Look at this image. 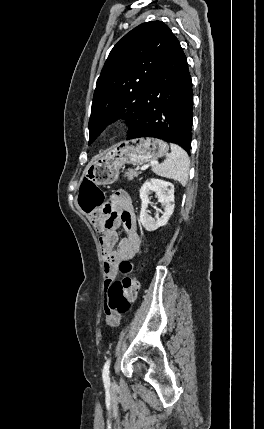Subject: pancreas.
<instances>
[{"label":"pancreas","mask_w":264,"mask_h":429,"mask_svg":"<svg viewBox=\"0 0 264 429\" xmlns=\"http://www.w3.org/2000/svg\"><path fill=\"white\" fill-rule=\"evenodd\" d=\"M140 173L138 172V169H128L125 172V176L128 178V180H133L135 177H138Z\"/></svg>","instance_id":"cf45deb5"}]
</instances>
